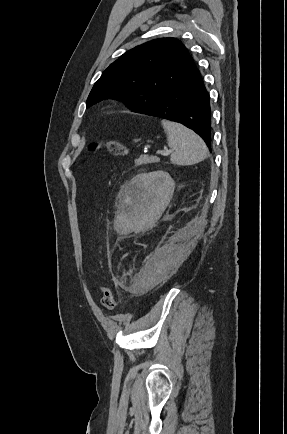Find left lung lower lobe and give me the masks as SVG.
<instances>
[{"mask_svg":"<svg viewBox=\"0 0 287 434\" xmlns=\"http://www.w3.org/2000/svg\"><path fill=\"white\" fill-rule=\"evenodd\" d=\"M138 113L179 122L201 136L211 149L209 93L196 66L155 105Z\"/></svg>","mask_w":287,"mask_h":434,"instance_id":"obj_1","label":"left lung lower lobe"}]
</instances>
